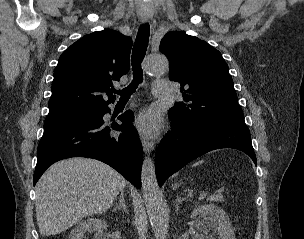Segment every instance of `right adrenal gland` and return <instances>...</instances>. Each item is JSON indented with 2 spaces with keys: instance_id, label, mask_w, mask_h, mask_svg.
<instances>
[{
  "instance_id": "2a0ac1e0",
  "label": "right adrenal gland",
  "mask_w": 304,
  "mask_h": 239,
  "mask_svg": "<svg viewBox=\"0 0 304 239\" xmlns=\"http://www.w3.org/2000/svg\"><path fill=\"white\" fill-rule=\"evenodd\" d=\"M123 210L124 212L128 213V209L125 203V198H124V192L121 191L120 196H119V203L116 205L114 210Z\"/></svg>"
}]
</instances>
